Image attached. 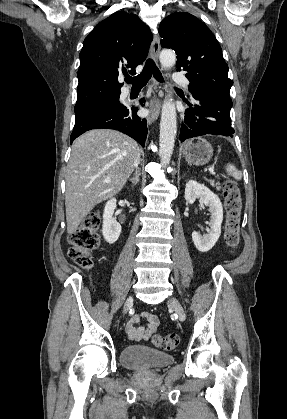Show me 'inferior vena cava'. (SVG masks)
<instances>
[{
    "mask_svg": "<svg viewBox=\"0 0 287 419\" xmlns=\"http://www.w3.org/2000/svg\"><path fill=\"white\" fill-rule=\"evenodd\" d=\"M138 164H139V156H137V158L134 160L133 165H134L135 168H137Z\"/></svg>",
    "mask_w": 287,
    "mask_h": 419,
    "instance_id": "602c4592",
    "label": "inferior vena cava"
}]
</instances>
